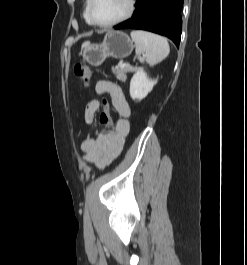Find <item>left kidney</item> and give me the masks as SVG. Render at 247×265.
<instances>
[{
    "instance_id": "5707ae66",
    "label": "left kidney",
    "mask_w": 247,
    "mask_h": 265,
    "mask_svg": "<svg viewBox=\"0 0 247 265\" xmlns=\"http://www.w3.org/2000/svg\"><path fill=\"white\" fill-rule=\"evenodd\" d=\"M157 83V80H151L147 77V74L143 69H138L133 75L130 82V96L133 100L144 99L149 92L153 89V86Z\"/></svg>"
}]
</instances>
